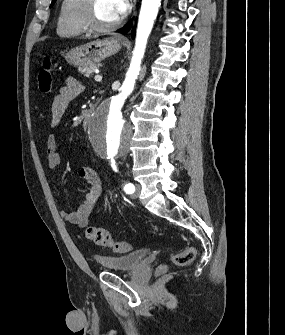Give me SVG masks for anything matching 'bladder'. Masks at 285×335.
<instances>
[{"instance_id":"obj_1","label":"bladder","mask_w":285,"mask_h":335,"mask_svg":"<svg viewBox=\"0 0 285 335\" xmlns=\"http://www.w3.org/2000/svg\"><path fill=\"white\" fill-rule=\"evenodd\" d=\"M148 250L141 248L136 251L101 256L96 258V265H112V272H132L143 265L148 256Z\"/></svg>"}]
</instances>
